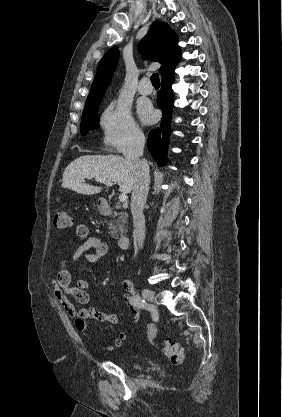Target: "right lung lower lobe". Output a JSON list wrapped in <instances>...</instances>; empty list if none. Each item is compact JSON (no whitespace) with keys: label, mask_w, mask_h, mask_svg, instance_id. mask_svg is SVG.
I'll return each mask as SVG.
<instances>
[{"label":"right lung lower lobe","mask_w":282,"mask_h":417,"mask_svg":"<svg viewBox=\"0 0 282 417\" xmlns=\"http://www.w3.org/2000/svg\"><path fill=\"white\" fill-rule=\"evenodd\" d=\"M174 69L162 76V88L158 92L157 102L162 110L160 127L150 131L148 136V150L151 152L159 166H163L167 160V150L170 136L171 112L174 104V97L171 85L174 82Z\"/></svg>","instance_id":"right-lung-lower-lobe-1"}]
</instances>
